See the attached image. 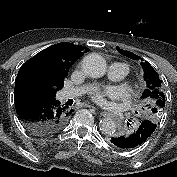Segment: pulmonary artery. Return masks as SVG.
I'll list each match as a JSON object with an SVG mask.
<instances>
[{
	"instance_id": "pulmonary-artery-1",
	"label": "pulmonary artery",
	"mask_w": 177,
	"mask_h": 177,
	"mask_svg": "<svg viewBox=\"0 0 177 177\" xmlns=\"http://www.w3.org/2000/svg\"><path fill=\"white\" fill-rule=\"evenodd\" d=\"M129 73L128 67L120 62H114L109 66L107 78L110 81L116 82L124 79ZM90 86H80L76 88L65 89L61 92V99H69L80 96L87 92Z\"/></svg>"
}]
</instances>
